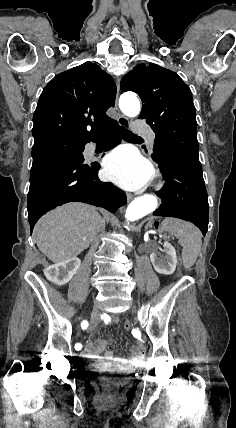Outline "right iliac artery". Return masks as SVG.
I'll return each mask as SVG.
<instances>
[{"label":"right iliac artery","instance_id":"1","mask_svg":"<svg viewBox=\"0 0 236 428\" xmlns=\"http://www.w3.org/2000/svg\"><path fill=\"white\" fill-rule=\"evenodd\" d=\"M81 327H82L83 330L86 329L88 327V322L86 320H84L81 323ZM75 349L78 350V351L81 350L82 349V345L80 343L75 344Z\"/></svg>","mask_w":236,"mask_h":428}]
</instances>
